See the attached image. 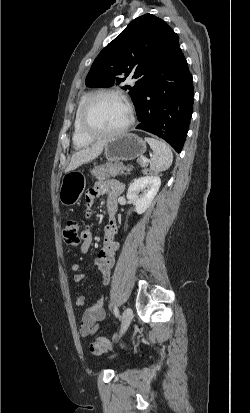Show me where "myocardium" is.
<instances>
[{
	"instance_id": "obj_1",
	"label": "myocardium",
	"mask_w": 250,
	"mask_h": 413,
	"mask_svg": "<svg viewBox=\"0 0 250 413\" xmlns=\"http://www.w3.org/2000/svg\"><path fill=\"white\" fill-rule=\"evenodd\" d=\"M101 96H114L122 100L128 108L129 112V119L127 123L120 129L112 131V132H100L93 129L89 123V113L93 103ZM135 121V110L131 102L127 99V97L120 91L115 89H102L93 92L88 96L86 99L80 115V127L82 132L92 138V139H108L118 137L124 133H126L130 127L134 124Z\"/></svg>"
}]
</instances>
